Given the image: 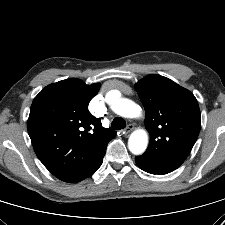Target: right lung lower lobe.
<instances>
[{
    "instance_id": "right-lung-lower-lobe-1",
    "label": "right lung lower lobe",
    "mask_w": 225,
    "mask_h": 225,
    "mask_svg": "<svg viewBox=\"0 0 225 225\" xmlns=\"http://www.w3.org/2000/svg\"><path fill=\"white\" fill-rule=\"evenodd\" d=\"M106 147H107V145H106L103 149H101V152H100V154H99L97 163L95 164V166L93 167V169H92L87 175H85L84 177L80 178V179L77 180V181H73V182H79V181H81V180H83V179L89 177L90 175H92L93 173H95V172L98 170V168H99V167L101 166V164H102L103 157H104V154H105V151H106Z\"/></svg>"
}]
</instances>
